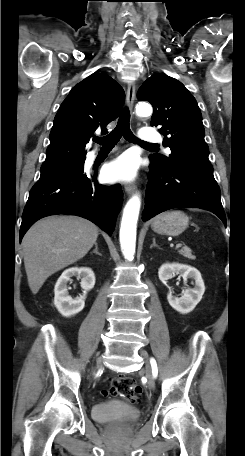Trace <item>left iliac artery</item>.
<instances>
[{
	"label": "left iliac artery",
	"instance_id": "left-iliac-artery-1",
	"mask_svg": "<svg viewBox=\"0 0 245 456\" xmlns=\"http://www.w3.org/2000/svg\"><path fill=\"white\" fill-rule=\"evenodd\" d=\"M150 363H151V367H152L153 377L156 378L158 375V367H157L156 360L154 358H151Z\"/></svg>",
	"mask_w": 245,
	"mask_h": 456
}]
</instances>
